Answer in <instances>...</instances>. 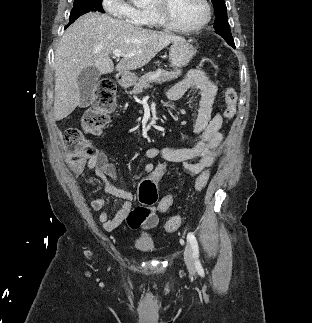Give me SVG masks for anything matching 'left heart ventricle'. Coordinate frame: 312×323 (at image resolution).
Segmentation results:
<instances>
[{"instance_id": "b2bd125f", "label": "left heart ventricle", "mask_w": 312, "mask_h": 323, "mask_svg": "<svg viewBox=\"0 0 312 323\" xmlns=\"http://www.w3.org/2000/svg\"><path fill=\"white\" fill-rule=\"evenodd\" d=\"M165 14L176 22H194L195 18H206L208 8L202 0H167Z\"/></svg>"}]
</instances>
